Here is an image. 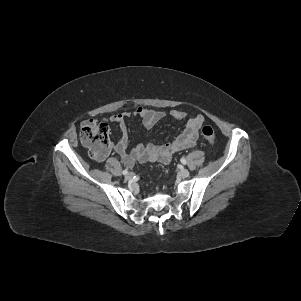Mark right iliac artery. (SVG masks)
<instances>
[{"label":"right iliac artery","mask_w":301,"mask_h":301,"mask_svg":"<svg viewBox=\"0 0 301 301\" xmlns=\"http://www.w3.org/2000/svg\"><path fill=\"white\" fill-rule=\"evenodd\" d=\"M122 173H123L124 175H126V174L128 173V171H127V170H123Z\"/></svg>","instance_id":"right-iliac-artery-1"}]
</instances>
